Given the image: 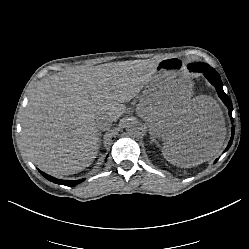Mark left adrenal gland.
<instances>
[{"label": "left adrenal gland", "instance_id": "obj_1", "mask_svg": "<svg viewBox=\"0 0 249 249\" xmlns=\"http://www.w3.org/2000/svg\"><path fill=\"white\" fill-rule=\"evenodd\" d=\"M151 142H155L157 145H159V143L157 142V140L154 139L153 137L151 138Z\"/></svg>", "mask_w": 249, "mask_h": 249}]
</instances>
